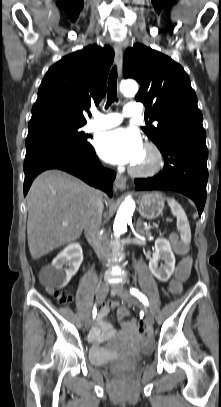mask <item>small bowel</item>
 I'll return each instance as SVG.
<instances>
[{"mask_svg":"<svg viewBox=\"0 0 221 407\" xmlns=\"http://www.w3.org/2000/svg\"><path fill=\"white\" fill-rule=\"evenodd\" d=\"M118 302H111L101 308L97 319V324L94 330L91 332L89 339L95 344H100L103 341L115 336L117 334V328L111 323L106 321V317L111 309L117 308ZM122 327V326H121ZM132 330H125L122 328L123 333H129Z\"/></svg>","mask_w":221,"mask_h":407,"instance_id":"small-bowel-1","label":"small bowel"}]
</instances>
